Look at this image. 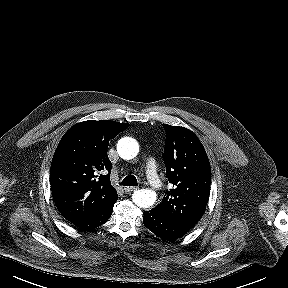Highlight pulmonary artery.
<instances>
[{
    "label": "pulmonary artery",
    "instance_id": "e3ab8cb5",
    "mask_svg": "<svg viewBox=\"0 0 288 288\" xmlns=\"http://www.w3.org/2000/svg\"><path fill=\"white\" fill-rule=\"evenodd\" d=\"M146 177L149 183L154 186H160V180L158 176V168L153 158H148L146 162Z\"/></svg>",
    "mask_w": 288,
    "mask_h": 288
}]
</instances>
